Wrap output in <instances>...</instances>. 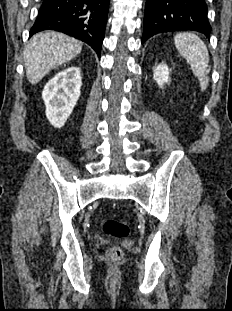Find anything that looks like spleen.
<instances>
[{
    "label": "spleen",
    "instance_id": "obj_1",
    "mask_svg": "<svg viewBox=\"0 0 232 311\" xmlns=\"http://www.w3.org/2000/svg\"><path fill=\"white\" fill-rule=\"evenodd\" d=\"M174 42L180 54L190 64L191 69L199 79L201 90L209 83V53L204 42L193 33H178Z\"/></svg>",
    "mask_w": 232,
    "mask_h": 311
}]
</instances>
